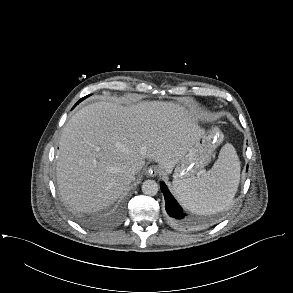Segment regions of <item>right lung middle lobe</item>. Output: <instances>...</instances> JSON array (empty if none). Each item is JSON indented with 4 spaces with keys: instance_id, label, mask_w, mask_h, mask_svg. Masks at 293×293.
Returning a JSON list of instances; mask_svg holds the SVG:
<instances>
[{
    "instance_id": "1",
    "label": "right lung middle lobe",
    "mask_w": 293,
    "mask_h": 293,
    "mask_svg": "<svg viewBox=\"0 0 293 293\" xmlns=\"http://www.w3.org/2000/svg\"><path fill=\"white\" fill-rule=\"evenodd\" d=\"M88 96H90V95H88ZM88 96H86V97H88ZM86 97L80 99V100L77 102V104H78L79 102H81L82 100H84Z\"/></svg>"
}]
</instances>
